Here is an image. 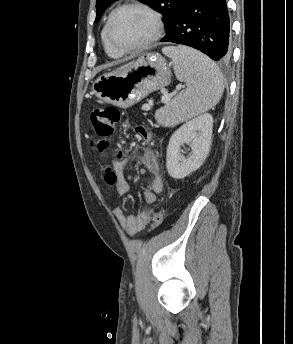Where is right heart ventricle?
I'll return each instance as SVG.
<instances>
[{
	"label": "right heart ventricle",
	"mask_w": 293,
	"mask_h": 344,
	"mask_svg": "<svg viewBox=\"0 0 293 344\" xmlns=\"http://www.w3.org/2000/svg\"><path fill=\"white\" fill-rule=\"evenodd\" d=\"M105 26L106 24L104 25L102 31H101V39H102V43H103V47H104V50L106 52V54L112 58V59H119L120 57H122L123 54H120L116 51H114L107 43V40H106V36H105Z\"/></svg>",
	"instance_id": "right-heart-ventricle-1"
}]
</instances>
